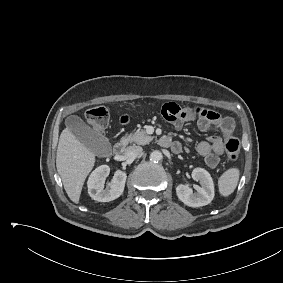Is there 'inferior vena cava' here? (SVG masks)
<instances>
[{
	"instance_id": "obj_1",
	"label": "inferior vena cava",
	"mask_w": 283,
	"mask_h": 283,
	"mask_svg": "<svg viewBox=\"0 0 283 283\" xmlns=\"http://www.w3.org/2000/svg\"><path fill=\"white\" fill-rule=\"evenodd\" d=\"M143 149L140 146H129L126 148L125 154L129 158H135L142 153Z\"/></svg>"
}]
</instances>
